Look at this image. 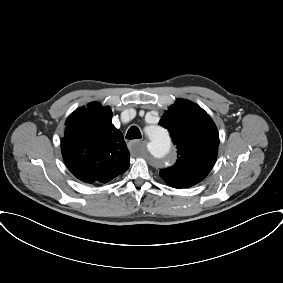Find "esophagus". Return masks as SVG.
<instances>
[{"mask_svg": "<svg viewBox=\"0 0 283 283\" xmlns=\"http://www.w3.org/2000/svg\"><path fill=\"white\" fill-rule=\"evenodd\" d=\"M141 144V141L140 140H134V141H130L128 143V147L129 148H136L137 146H139Z\"/></svg>", "mask_w": 283, "mask_h": 283, "instance_id": "esophagus-1", "label": "esophagus"}]
</instances>
